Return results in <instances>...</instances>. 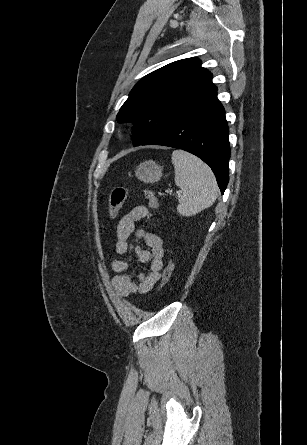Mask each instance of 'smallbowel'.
Listing matches in <instances>:
<instances>
[{
	"label": "small bowel",
	"instance_id": "c3829d8e",
	"mask_svg": "<svg viewBox=\"0 0 307 445\" xmlns=\"http://www.w3.org/2000/svg\"><path fill=\"white\" fill-rule=\"evenodd\" d=\"M148 216H150V212L146 206L138 205L124 215L117 225L116 253L124 255L134 251L141 262L147 263L146 272L139 274L138 278L134 279L128 273L130 264L126 260L114 259L111 261L110 268L116 273L113 277V284L121 297H128L137 293L144 294L150 291L160 279L164 257V246L161 237L144 230L137 231V237L145 242L148 250L141 249L140 246L129 242V237L135 229V222Z\"/></svg>",
	"mask_w": 307,
	"mask_h": 445
}]
</instances>
